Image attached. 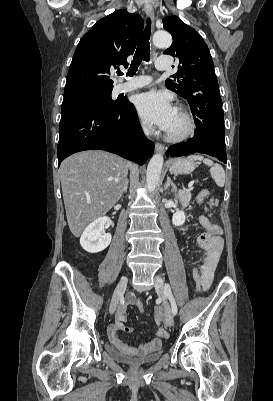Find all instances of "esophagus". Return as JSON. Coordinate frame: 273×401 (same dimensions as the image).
<instances>
[{
  "mask_svg": "<svg viewBox=\"0 0 273 401\" xmlns=\"http://www.w3.org/2000/svg\"><path fill=\"white\" fill-rule=\"evenodd\" d=\"M144 11L148 15V17H150L152 20L154 19V10H153L152 5H150L149 3H146L144 6ZM152 28H154V26ZM155 150L158 153H163L165 150V146L162 145L161 143H155Z\"/></svg>",
  "mask_w": 273,
  "mask_h": 401,
  "instance_id": "1",
  "label": "esophagus"
}]
</instances>
